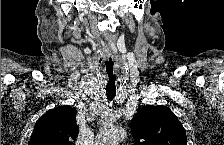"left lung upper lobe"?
I'll return each instance as SVG.
<instances>
[{
  "instance_id": "5c2ea615",
  "label": "left lung upper lobe",
  "mask_w": 224,
  "mask_h": 145,
  "mask_svg": "<svg viewBox=\"0 0 224 145\" xmlns=\"http://www.w3.org/2000/svg\"><path fill=\"white\" fill-rule=\"evenodd\" d=\"M136 145H187L186 132L166 106H144L131 122Z\"/></svg>"
}]
</instances>
